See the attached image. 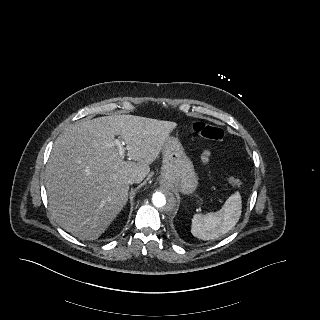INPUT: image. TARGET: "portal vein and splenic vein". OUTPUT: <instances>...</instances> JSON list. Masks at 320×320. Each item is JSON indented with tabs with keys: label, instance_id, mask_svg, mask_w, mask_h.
<instances>
[{
	"label": "portal vein and splenic vein",
	"instance_id": "obj_1",
	"mask_svg": "<svg viewBox=\"0 0 320 320\" xmlns=\"http://www.w3.org/2000/svg\"><path fill=\"white\" fill-rule=\"evenodd\" d=\"M113 145L118 148L120 158L123 157L124 150H125L124 148L125 143L122 140L117 139L113 142Z\"/></svg>",
	"mask_w": 320,
	"mask_h": 320
}]
</instances>
